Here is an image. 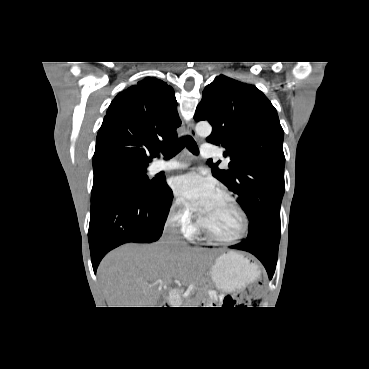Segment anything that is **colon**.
<instances>
[{"label": "colon", "mask_w": 369, "mask_h": 369, "mask_svg": "<svg viewBox=\"0 0 369 369\" xmlns=\"http://www.w3.org/2000/svg\"><path fill=\"white\" fill-rule=\"evenodd\" d=\"M263 296V284L257 283L240 291L236 295L216 296L211 294L212 303L219 302L223 307L258 306Z\"/></svg>", "instance_id": "1"}]
</instances>
